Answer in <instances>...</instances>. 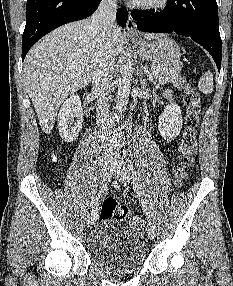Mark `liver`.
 Masks as SVG:
<instances>
[{
  "label": "liver",
  "instance_id": "obj_1",
  "mask_svg": "<svg viewBox=\"0 0 233 286\" xmlns=\"http://www.w3.org/2000/svg\"><path fill=\"white\" fill-rule=\"evenodd\" d=\"M159 36L145 34L147 39ZM98 37L99 32L92 28L89 18L55 29L28 52L24 83L44 133L53 130L57 111L67 96L91 81ZM110 40L114 55H119L124 36L116 24L111 28Z\"/></svg>",
  "mask_w": 233,
  "mask_h": 286
}]
</instances>
